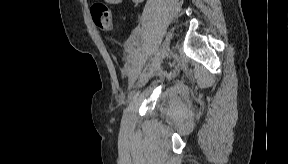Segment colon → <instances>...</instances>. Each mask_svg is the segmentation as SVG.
<instances>
[{
  "label": "colon",
  "mask_w": 288,
  "mask_h": 164,
  "mask_svg": "<svg viewBox=\"0 0 288 164\" xmlns=\"http://www.w3.org/2000/svg\"><path fill=\"white\" fill-rule=\"evenodd\" d=\"M93 20L95 24L104 31L112 29L113 18L110 8L103 3H98L92 6Z\"/></svg>",
  "instance_id": "5ec220e1"
}]
</instances>
